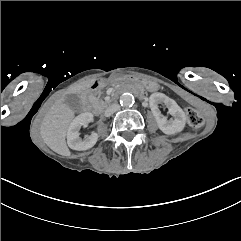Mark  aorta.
Masks as SVG:
<instances>
[{
	"mask_svg": "<svg viewBox=\"0 0 241 241\" xmlns=\"http://www.w3.org/2000/svg\"><path fill=\"white\" fill-rule=\"evenodd\" d=\"M121 106H132L134 104V96L130 93H124L120 96Z\"/></svg>",
	"mask_w": 241,
	"mask_h": 241,
	"instance_id": "1",
	"label": "aorta"
}]
</instances>
